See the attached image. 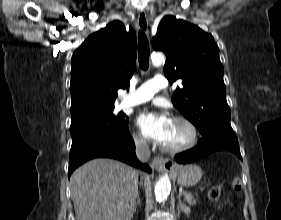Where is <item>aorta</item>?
<instances>
[{
  "instance_id": "762f6f07",
  "label": "aorta",
  "mask_w": 281,
  "mask_h": 220,
  "mask_svg": "<svg viewBox=\"0 0 281 220\" xmlns=\"http://www.w3.org/2000/svg\"><path fill=\"white\" fill-rule=\"evenodd\" d=\"M152 64L154 66H160L164 63L165 58L164 55L161 53H155L151 56ZM171 190L170 179L168 175H163L156 183L154 192L156 196V200L158 202H164Z\"/></svg>"
}]
</instances>
